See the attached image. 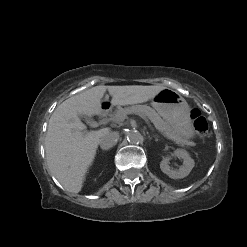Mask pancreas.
Wrapping results in <instances>:
<instances>
[{"mask_svg":"<svg viewBox=\"0 0 247 247\" xmlns=\"http://www.w3.org/2000/svg\"><path fill=\"white\" fill-rule=\"evenodd\" d=\"M143 114L147 116L154 124L155 128L167 139L174 141L179 145H186L187 141L181 139L178 134L170 129L169 125L156 113L154 109L147 105H133L130 107L119 108V110L112 115L111 119L116 122H121L120 118H126L128 114Z\"/></svg>","mask_w":247,"mask_h":247,"instance_id":"cf45deb5","label":"pancreas"}]
</instances>
